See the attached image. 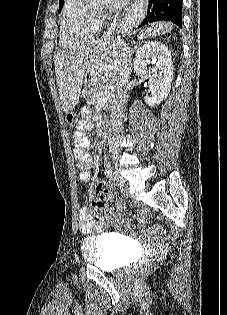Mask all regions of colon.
Here are the masks:
<instances>
[{"label": "colon", "instance_id": "colon-1", "mask_svg": "<svg viewBox=\"0 0 227 315\" xmlns=\"http://www.w3.org/2000/svg\"><path fill=\"white\" fill-rule=\"evenodd\" d=\"M67 123L69 126H75L77 124V115L73 112L67 114ZM111 200L110 193L101 188H93L90 195V202L95 210L96 218L100 219L101 223L107 224L111 219L112 208L109 205ZM150 269V263L148 261L140 263L134 270L133 276L138 278L146 271Z\"/></svg>", "mask_w": 227, "mask_h": 315}]
</instances>
